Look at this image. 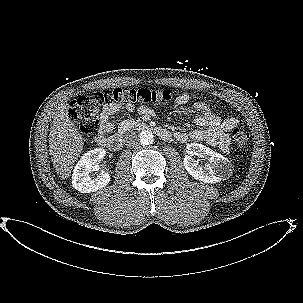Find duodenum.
<instances>
[{
  "label": "duodenum",
  "mask_w": 303,
  "mask_h": 303,
  "mask_svg": "<svg viewBox=\"0 0 303 303\" xmlns=\"http://www.w3.org/2000/svg\"><path fill=\"white\" fill-rule=\"evenodd\" d=\"M137 127L141 130H150L155 132L160 138L166 140L170 138V133L164 128L151 126L147 123H139ZM102 146L111 151H119L123 146V142L120 137H101L97 140Z\"/></svg>",
  "instance_id": "410a0bca"
}]
</instances>
